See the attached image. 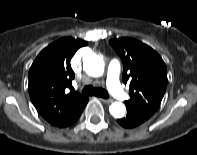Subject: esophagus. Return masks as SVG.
<instances>
[{"mask_svg":"<svg viewBox=\"0 0 197 155\" xmlns=\"http://www.w3.org/2000/svg\"><path fill=\"white\" fill-rule=\"evenodd\" d=\"M102 102H104V103H110L111 102V100H109V99H104V98H99Z\"/></svg>","mask_w":197,"mask_h":155,"instance_id":"esophagus-1","label":"esophagus"}]
</instances>
